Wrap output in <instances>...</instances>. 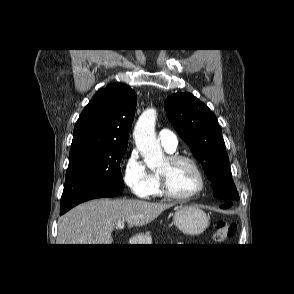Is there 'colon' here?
I'll return each mask as SVG.
<instances>
[{
  "mask_svg": "<svg viewBox=\"0 0 294 294\" xmlns=\"http://www.w3.org/2000/svg\"><path fill=\"white\" fill-rule=\"evenodd\" d=\"M235 232H236V224L234 222H230V221L218 222L216 225L215 233H214V240L217 243L222 244L227 239L233 237Z\"/></svg>",
  "mask_w": 294,
  "mask_h": 294,
  "instance_id": "1",
  "label": "colon"
}]
</instances>
